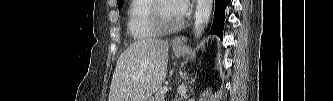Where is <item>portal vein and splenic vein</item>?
Returning a JSON list of instances; mask_svg holds the SVG:
<instances>
[{
  "label": "portal vein and splenic vein",
  "instance_id": "18ae733b",
  "mask_svg": "<svg viewBox=\"0 0 333 101\" xmlns=\"http://www.w3.org/2000/svg\"><path fill=\"white\" fill-rule=\"evenodd\" d=\"M168 90H169L168 87H164L163 90H162V92H163V93H166Z\"/></svg>",
  "mask_w": 333,
  "mask_h": 101
}]
</instances>
